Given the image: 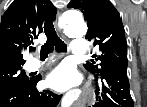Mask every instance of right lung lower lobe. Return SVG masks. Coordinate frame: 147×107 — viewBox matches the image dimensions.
I'll list each match as a JSON object with an SVG mask.
<instances>
[{"instance_id": "obj_1", "label": "right lung lower lobe", "mask_w": 147, "mask_h": 107, "mask_svg": "<svg viewBox=\"0 0 147 107\" xmlns=\"http://www.w3.org/2000/svg\"><path fill=\"white\" fill-rule=\"evenodd\" d=\"M41 76L30 78L21 85L0 92V107H56L62 95L51 91L39 92L36 84Z\"/></svg>"}]
</instances>
